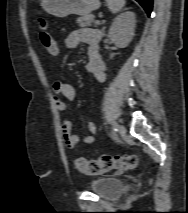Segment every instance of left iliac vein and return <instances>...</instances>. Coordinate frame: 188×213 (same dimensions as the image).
<instances>
[{
	"label": "left iliac vein",
	"mask_w": 188,
	"mask_h": 213,
	"mask_svg": "<svg viewBox=\"0 0 188 213\" xmlns=\"http://www.w3.org/2000/svg\"><path fill=\"white\" fill-rule=\"evenodd\" d=\"M118 132L120 135H125L126 134V128L124 125H118Z\"/></svg>",
	"instance_id": "4c4485c4"
}]
</instances>
